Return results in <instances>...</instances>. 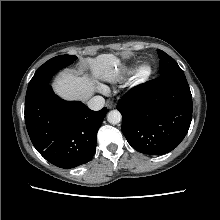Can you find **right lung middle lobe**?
Returning <instances> with one entry per match:
<instances>
[{
    "instance_id": "obj_1",
    "label": "right lung middle lobe",
    "mask_w": 220,
    "mask_h": 220,
    "mask_svg": "<svg viewBox=\"0 0 220 220\" xmlns=\"http://www.w3.org/2000/svg\"><path fill=\"white\" fill-rule=\"evenodd\" d=\"M76 59L77 57L74 55H60L48 60L40 66L29 82L26 98L34 95L40 89L48 85L54 74L60 69L72 64Z\"/></svg>"
}]
</instances>
